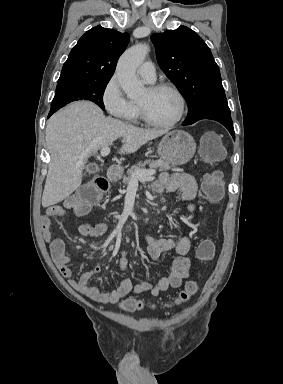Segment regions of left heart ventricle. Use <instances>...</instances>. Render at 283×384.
<instances>
[{"label":"left heart ventricle","mask_w":283,"mask_h":384,"mask_svg":"<svg viewBox=\"0 0 283 384\" xmlns=\"http://www.w3.org/2000/svg\"><path fill=\"white\" fill-rule=\"evenodd\" d=\"M150 119L159 123L173 120L178 113V101L168 90L152 91L149 87L138 100Z\"/></svg>","instance_id":"b2bd125f"}]
</instances>
